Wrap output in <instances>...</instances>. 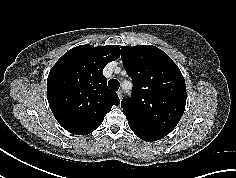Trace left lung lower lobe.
<instances>
[{"label":"left lung lower lobe","instance_id":"1","mask_svg":"<svg viewBox=\"0 0 236 178\" xmlns=\"http://www.w3.org/2000/svg\"><path fill=\"white\" fill-rule=\"evenodd\" d=\"M132 131L142 140L144 141H157L161 138H163L164 136L162 135H158V134H153V133H148V132H144L141 130H136V129H132Z\"/></svg>","mask_w":236,"mask_h":178}]
</instances>
